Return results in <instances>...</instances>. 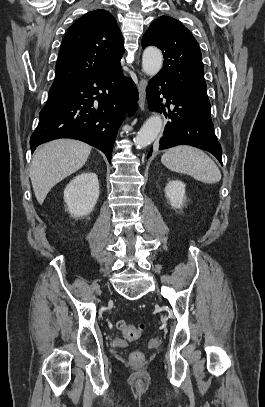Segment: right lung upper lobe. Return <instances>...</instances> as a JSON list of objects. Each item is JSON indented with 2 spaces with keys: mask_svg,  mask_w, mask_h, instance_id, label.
Wrapping results in <instances>:
<instances>
[{
  "mask_svg": "<svg viewBox=\"0 0 265 407\" xmlns=\"http://www.w3.org/2000/svg\"><path fill=\"white\" fill-rule=\"evenodd\" d=\"M123 52V38L116 19L106 10L89 12L68 28L52 86L69 87L116 68Z\"/></svg>",
  "mask_w": 265,
  "mask_h": 407,
  "instance_id": "right-lung-upper-lobe-1",
  "label": "right lung upper lobe"
}]
</instances>
